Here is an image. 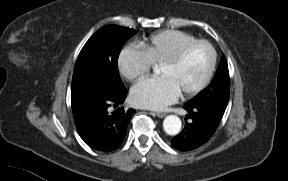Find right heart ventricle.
<instances>
[{
  "label": "right heart ventricle",
  "mask_w": 288,
  "mask_h": 181,
  "mask_svg": "<svg viewBox=\"0 0 288 181\" xmlns=\"http://www.w3.org/2000/svg\"><path fill=\"white\" fill-rule=\"evenodd\" d=\"M197 40L191 34L177 31L164 30L151 35L139 43L152 65H158L162 60L172 56L182 46Z\"/></svg>",
  "instance_id": "right-heart-ventricle-1"
}]
</instances>
